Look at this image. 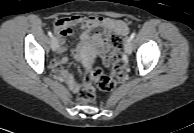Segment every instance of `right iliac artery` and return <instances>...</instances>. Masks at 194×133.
Returning <instances> with one entry per match:
<instances>
[{"label":"right iliac artery","instance_id":"obj_1","mask_svg":"<svg viewBox=\"0 0 194 133\" xmlns=\"http://www.w3.org/2000/svg\"><path fill=\"white\" fill-rule=\"evenodd\" d=\"M48 35H49L51 38H53V34H52L51 31H48Z\"/></svg>","mask_w":194,"mask_h":133}]
</instances>
